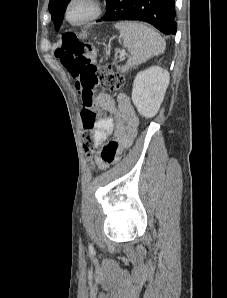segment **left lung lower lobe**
<instances>
[{"mask_svg":"<svg viewBox=\"0 0 227 298\" xmlns=\"http://www.w3.org/2000/svg\"><path fill=\"white\" fill-rule=\"evenodd\" d=\"M107 12L98 21L139 20L164 34H176L174 0H109Z\"/></svg>","mask_w":227,"mask_h":298,"instance_id":"left-lung-lower-lobe-1","label":"left lung lower lobe"}]
</instances>
